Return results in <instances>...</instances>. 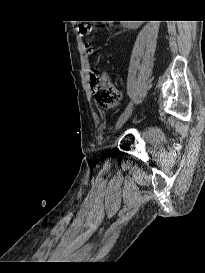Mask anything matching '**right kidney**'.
Listing matches in <instances>:
<instances>
[{
    "label": "right kidney",
    "instance_id": "right-kidney-1",
    "mask_svg": "<svg viewBox=\"0 0 205 273\" xmlns=\"http://www.w3.org/2000/svg\"><path fill=\"white\" fill-rule=\"evenodd\" d=\"M125 24H123L125 27L136 29L138 28L142 23V21H123ZM128 23V24H127Z\"/></svg>",
    "mask_w": 205,
    "mask_h": 273
}]
</instances>
